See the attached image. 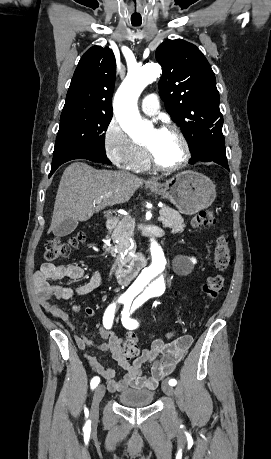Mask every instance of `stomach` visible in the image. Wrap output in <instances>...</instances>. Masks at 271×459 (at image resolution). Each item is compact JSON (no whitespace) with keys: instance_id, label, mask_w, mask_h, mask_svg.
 I'll return each instance as SVG.
<instances>
[{"instance_id":"0dacf381","label":"stomach","mask_w":271,"mask_h":459,"mask_svg":"<svg viewBox=\"0 0 271 459\" xmlns=\"http://www.w3.org/2000/svg\"><path fill=\"white\" fill-rule=\"evenodd\" d=\"M146 188L170 200L179 212L186 216H193L201 210H207L216 198V186L210 178L192 170L180 172L159 186L146 184Z\"/></svg>"}]
</instances>
